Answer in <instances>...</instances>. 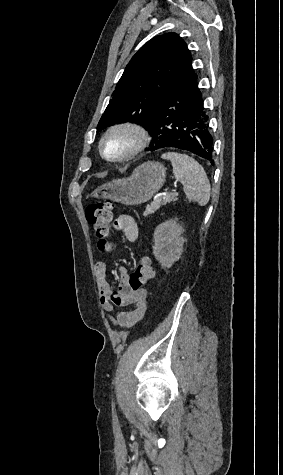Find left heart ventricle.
I'll use <instances>...</instances> for the list:
<instances>
[{
	"mask_svg": "<svg viewBox=\"0 0 283 475\" xmlns=\"http://www.w3.org/2000/svg\"><path fill=\"white\" fill-rule=\"evenodd\" d=\"M133 141L131 133L123 132L109 137L104 143V152L110 157L125 153Z\"/></svg>",
	"mask_w": 283,
	"mask_h": 475,
	"instance_id": "b2bd125f",
	"label": "left heart ventricle"
}]
</instances>
